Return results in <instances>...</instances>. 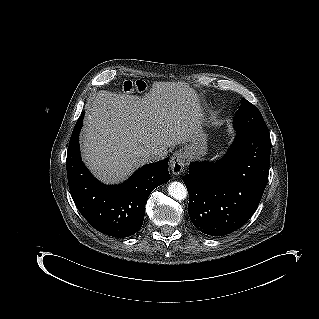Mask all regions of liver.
Segmentation results:
<instances>
[{
	"instance_id": "obj_1",
	"label": "liver",
	"mask_w": 319,
	"mask_h": 319,
	"mask_svg": "<svg viewBox=\"0 0 319 319\" xmlns=\"http://www.w3.org/2000/svg\"><path fill=\"white\" fill-rule=\"evenodd\" d=\"M193 92L174 83H156L143 98L101 90L86 105L82 158L105 183H118L148 163L147 151H166L199 131Z\"/></svg>"
}]
</instances>
